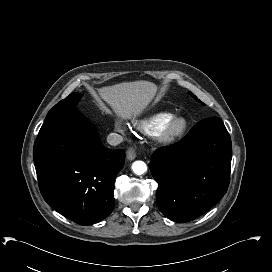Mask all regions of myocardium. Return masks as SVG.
I'll list each match as a JSON object with an SVG mask.
<instances>
[{"mask_svg":"<svg viewBox=\"0 0 272 272\" xmlns=\"http://www.w3.org/2000/svg\"><path fill=\"white\" fill-rule=\"evenodd\" d=\"M186 130V122L180 117H176L168 122L160 131L159 137L164 142H173L180 138Z\"/></svg>","mask_w":272,"mask_h":272,"instance_id":"obj_1","label":"myocardium"}]
</instances>
